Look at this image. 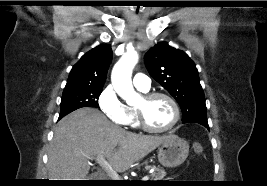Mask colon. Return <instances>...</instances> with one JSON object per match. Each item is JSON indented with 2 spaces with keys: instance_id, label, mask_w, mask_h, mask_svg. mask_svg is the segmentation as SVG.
Instances as JSON below:
<instances>
[{
  "instance_id": "colon-1",
  "label": "colon",
  "mask_w": 267,
  "mask_h": 186,
  "mask_svg": "<svg viewBox=\"0 0 267 186\" xmlns=\"http://www.w3.org/2000/svg\"><path fill=\"white\" fill-rule=\"evenodd\" d=\"M193 149H194V152H195L196 154H198V155L202 154V152H203V147H202V145L199 144V143H194V144H193Z\"/></svg>"
}]
</instances>
